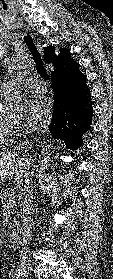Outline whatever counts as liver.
I'll return each mask as SVG.
<instances>
[{
    "label": "liver",
    "instance_id": "obj_1",
    "mask_svg": "<svg viewBox=\"0 0 113 279\" xmlns=\"http://www.w3.org/2000/svg\"><path fill=\"white\" fill-rule=\"evenodd\" d=\"M30 161L27 157H19L16 151L0 152V179L14 180L17 184H23L30 173Z\"/></svg>",
    "mask_w": 113,
    "mask_h": 279
}]
</instances>
